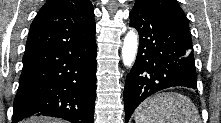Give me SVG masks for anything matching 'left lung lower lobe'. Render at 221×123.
Wrapping results in <instances>:
<instances>
[{"mask_svg":"<svg viewBox=\"0 0 221 123\" xmlns=\"http://www.w3.org/2000/svg\"><path fill=\"white\" fill-rule=\"evenodd\" d=\"M129 17L130 26L139 32L140 44L125 82L126 123L150 95L168 87H197L189 32L153 16L140 3H135Z\"/></svg>","mask_w":221,"mask_h":123,"instance_id":"0a47b994","label":"left lung lower lobe"}]
</instances>
